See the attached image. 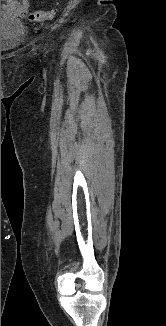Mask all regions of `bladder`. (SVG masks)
Wrapping results in <instances>:
<instances>
[{"label": "bladder", "mask_w": 166, "mask_h": 326, "mask_svg": "<svg viewBox=\"0 0 166 326\" xmlns=\"http://www.w3.org/2000/svg\"><path fill=\"white\" fill-rule=\"evenodd\" d=\"M23 29L21 19L1 10V51L14 49L22 38Z\"/></svg>", "instance_id": "obj_1"}]
</instances>
